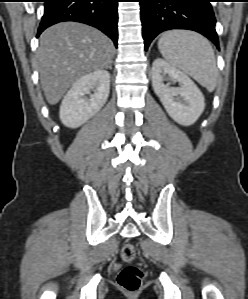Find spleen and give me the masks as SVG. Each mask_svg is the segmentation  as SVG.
I'll return each instance as SVG.
<instances>
[{
    "label": "spleen",
    "instance_id": "obj_1",
    "mask_svg": "<svg viewBox=\"0 0 248 299\" xmlns=\"http://www.w3.org/2000/svg\"><path fill=\"white\" fill-rule=\"evenodd\" d=\"M158 49L171 65L190 75L213 92L218 70L213 48L202 35L193 31L171 30L162 34Z\"/></svg>",
    "mask_w": 248,
    "mask_h": 299
}]
</instances>
